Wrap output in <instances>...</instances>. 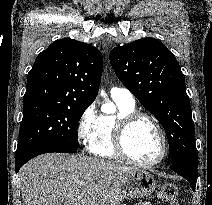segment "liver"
<instances>
[{
    "mask_svg": "<svg viewBox=\"0 0 212 205\" xmlns=\"http://www.w3.org/2000/svg\"><path fill=\"white\" fill-rule=\"evenodd\" d=\"M135 169L84 155L43 154L20 170L22 199L24 205H96L112 183Z\"/></svg>",
    "mask_w": 212,
    "mask_h": 205,
    "instance_id": "liver-1",
    "label": "liver"
}]
</instances>
